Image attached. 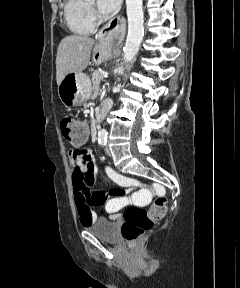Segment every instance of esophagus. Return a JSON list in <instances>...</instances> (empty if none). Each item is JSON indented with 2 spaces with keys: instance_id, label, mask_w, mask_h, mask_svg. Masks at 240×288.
Returning a JSON list of instances; mask_svg holds the SVG:
<instances>
[{
  "instance_id": "esophagus-1",
  "label": "esophagus",
  "mask_w": 240,
  "mask_h": 288,
  "mask_svg": "<svg viewBox=\"0 0 240 288\" xmlns=\"http://www.w3.org/2000/svg\"><path fill=\"white\" fill-rule=\"evenodd\" d=\"M124 20L123 17L118 16L107 23L98 33L97 39L103 43H112L113 38L119 35L123 37Z\"/></svg>"
}]
</instances>
